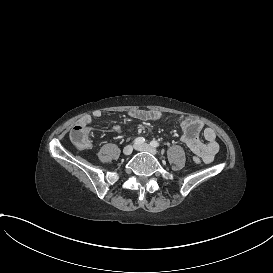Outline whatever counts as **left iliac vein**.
Wrapping results in <instances>:
<instances>
[{
    "instance_id": "4c4485c4",
    "label": "left iliac vein",
    "mask_w": 273,
    "mask_h": 273,
    "mask_svg": "<svg viewBox=\"0 0 273 273\" xmlns=\"http://www.w3.org/2000/svg\"><path fill=\"white\" fill-rule=\"evenodd\" d=\"M138 151H147L152 155H157V150L148 144H141L134 147Z\"/></svg>"
}]
</instances>
